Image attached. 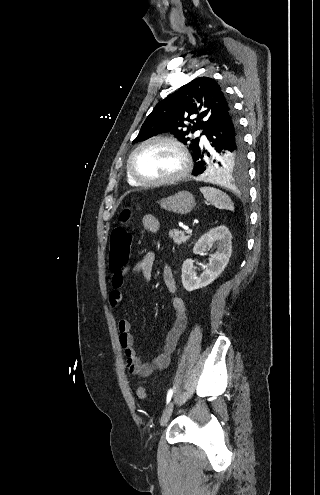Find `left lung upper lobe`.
Here are the masks:
<instances>
[{
  "instance_id": "5c2ea615",
  "label": "left lung upper lobe",
  "mask_w": 320,
  "mask_h": 495,
  "mask_svg": "<svg viewBox=\"0 0 320 495\" xmlns=\"http://www.w3.org/2000/svg\"><path fill=\"white\" fill-rule=\"evenodd\" d=\"M231 109V103L227 101L215 80L209 77L195 78L155 106L133 143L168 130L184 144L190 142L193 156L201 150L202 145L198 138L191 140L186 135L197 130H203L202 134L206 135L214 122ZM185 121L192 125H187ZM204 154L208 158L203 161L208 166V174L211 176L226 178L246 171L245 151L239 127L234 148L230 145L218 146L210 151L205 150Z\"/></svg>"
}]
</instances>
